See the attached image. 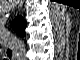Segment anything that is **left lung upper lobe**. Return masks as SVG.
<instances>
[{"label": "left lung upper lobe", "mask_w": 80, "mask_h": 60, "mask_svg": "<svg viewBox=\"0 0 80 60\" xmlns=\"http://www.w3.org/2000/svg\"><path fill=\"white\" fill-rule=\"evenodd\" d=\"M12 26L20 36H25L26 23L22 17L20 16L16 17L12 23Z\"/></svg>", "instance_id": "5c2ea615"}]
</instances>
